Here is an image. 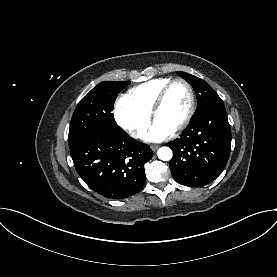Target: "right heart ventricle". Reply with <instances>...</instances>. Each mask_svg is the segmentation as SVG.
I'll list each match as a JSON object with an SVG mask.
<instances>
[{
  "label": "right heart ventricle",
  "mask_w": 277,
  "mask_h": 277,
  "mask_svg": "<svg viewBox=\"0 0 277 277\" xmlns=\"http://www.w3.org/2000/svg\"><path fill=\"white\" fill-rule=\"evenodd\" d=\"M171 78H156L132 87L127 94L131 102L143 113L150 114L152 105L161 89Z\"/></svg>",
  "instance_id": "1"
}]
</instances>
